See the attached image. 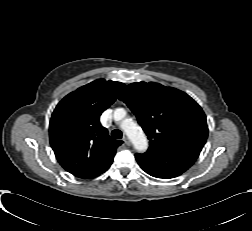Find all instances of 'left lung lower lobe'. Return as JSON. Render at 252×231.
Returning <instances> with one entry per match:
<instances>
[{"label":"left lung lower lobe","mask_w":252,"mask_h":231,"mask_svg":"<svg viewBox=\"0 0 252 231\" xmlns=\"http://www.w3.org/2000/svg\"><path fill=\"white\" fill-rule=\"evenodd\" d=\"M140 167L149 175L170 179L177 177L190 168L196 158L180 153L146 152L136 154Z\"/></svg>","instance_id":"left-lung-lower-lobe-1"}]
</instances>
